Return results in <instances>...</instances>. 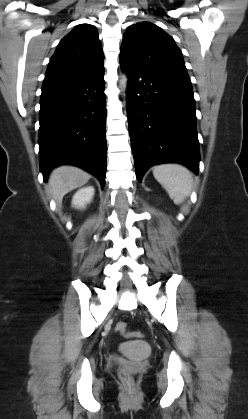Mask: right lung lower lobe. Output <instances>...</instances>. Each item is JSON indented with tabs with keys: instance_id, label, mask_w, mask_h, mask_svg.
Wrapping results in <instances>:
<instances>
[{
	"instance_id": "98d812e1",
	"label": "right lung lower lobe",
	"mask_w": 248,
	"mask_h": 419,
	"mask_svg": "<svg viewBox=\"0 0 248 419\" xmlns=\"http://www.w3.org/2000/svg\"><path fill=\"white\" fill-rule=\"evenodd\" d=\"M104 68L76 80L43 85L40 99V169L72 164L95 175L102 188L106 173Z\"/></svg>"
}]
</instances>
